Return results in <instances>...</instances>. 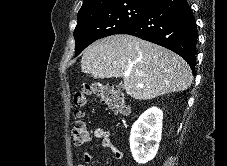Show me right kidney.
I'll return each instance as SVG.
<instances>
[{
  "label": "right kidney",
  "instance_id": "obj_1",
  "mask_svg": "<svg viewBox=\"0 0 227 166\" xmlns=\"http://www.w3.org/2000/svg\"><path fill=\"white\" fill-rule=\"evenodd\" d=\"M162 119V110L153 106L133 124L130 149L137 163L145 164L156 156L162 134Z\"/></svg>",
  "mask_w": 227,
  "mask_h": 166
}]
</instances>
